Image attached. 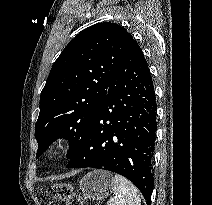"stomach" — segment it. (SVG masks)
Wrapping results in <instances>:
<instances>
[{"label":"stomach","instance_id":"0dacf381","mask_svg":"<svg viewBox=\"0 0 212 205\" xmlns=\"http://www.w3.org/2000/svg\"><path fill=\"white\" fill-rule=\"evenodd\" d=\"M80 189L89 200H103L113 189L112 176L103 170L89 172L80 180Z\"/></svg>","mask_w":212,"mask_h":205}]
</instances>
